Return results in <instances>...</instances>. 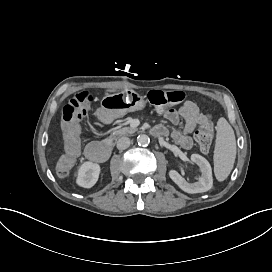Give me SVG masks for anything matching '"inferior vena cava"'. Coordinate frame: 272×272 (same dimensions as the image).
Returning a JSON list of instances; mask_svg holds the SVG:
<instances>
[{
    "label": "inferior vena cava",
    "instance_id": "obj_1",
    "mask_svg": "<svg viewBox=\"0 0 272 272\" xmlns=\"http://www.w3.org/2000/svg\"><path fill=\"white\" fill-rule=\"evenodd\" d=\"M130 146V139L128 137H121L117 141V148L119 150L127 149Z\"/></svg>",
    "mask_w": 272,
    "mask_h": 272
}]
</instances>
